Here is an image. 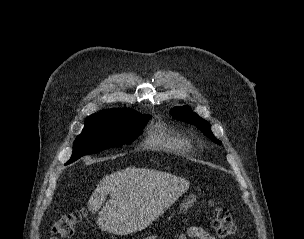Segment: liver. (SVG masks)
<instances>
[{
    "mask_svg": "<svg viewBox=\"0 0 304 239\" xmlns=\"http://www.w3.org/2000/svg\"><path fill=\"white\" fill-rule=\"evenodd\" d=\"M189 186L184 178L167 172L127 167L98 183L88 208L92 213L100 210L97 224L102 230L127 235L152 224Z\"/></svg>",
    "mask_w": 304,
    "mask_h": 239,
    "instance_id": "6515ba94",
    "label": "liver"
}]
</instances>
